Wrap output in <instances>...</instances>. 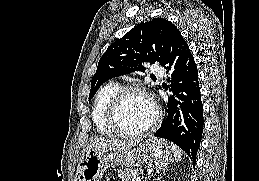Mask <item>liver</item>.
Segmentation results:
<instances>
[{"label":"liver","instance_id":"liver-1","mask_svg":"<svg viewBox=\"0 0 259 181\" xmlns=\"http://www.w3.org/2000/svg\"><path fill=\"white\" fill-rule=\"evenodd\" d=\"M138 144V141H123L114 138H97L87 145L85 151L90 150H126Z\"/></svg>","mask_w":259,"mask_h":181}]
</instances>
